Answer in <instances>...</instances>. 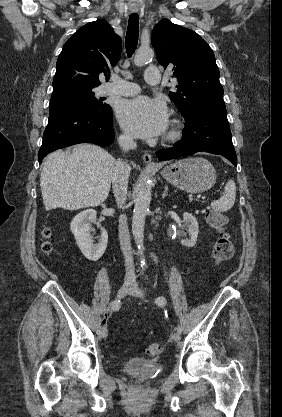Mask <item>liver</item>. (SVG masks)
Masks as SVG:
<instances>
[{"label":"liver","mask_w":282,"mask_h":417,"mask_svg":"<svg viewBox=\"0 0 282 417\" xmlns=\"http://www.w3.org/2000/svg\"><path fill=\"white\" fill-rule=\"evenodd\" d=\"M117 160L96 144H77L72 152L48 154L40 174L46 211H77L107 198Z\"/></svg>","instance_id":"6515ba94"}]
</instances>
